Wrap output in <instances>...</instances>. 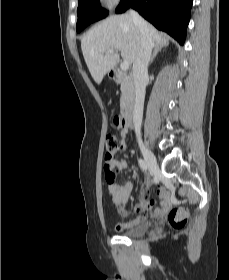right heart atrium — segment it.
<instances>
[{"label": "right heart atrium", "mask_w": 229, "mask_h": 280, "mask_svg": "<svg viewBox=\"0 0 229 280\" xmlns=\"http://www.w3.org/2000/svg\"><path fill=\"white\" fill-rule=\"evenodd\" d=\"M121 0H101L102 5L105 8H112L120 3Z\"/></svg>", "instance_id": "obj_1"}]
</instances>
